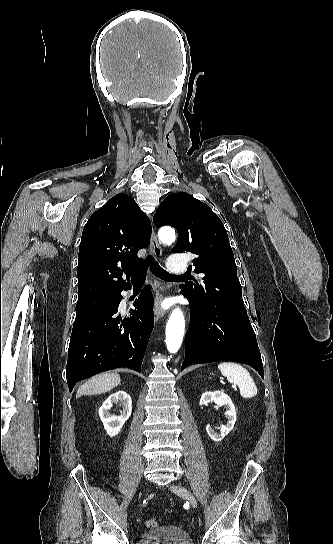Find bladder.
<instances>
[{"label":"bladder","mask_w":333,"mask_h":544,"mask_svg":"<svg viewBox=\"0 0 333 544\" xmlns=\"http://www.w3.org/2000/svg\"><path fill=\"white\" fill-rule=\"evenodd\" d=\"M138 544H194L191 536L175 526L159 527L144 532Z\"/></svg>","instance_id":"obj_1"}]
</instances>
